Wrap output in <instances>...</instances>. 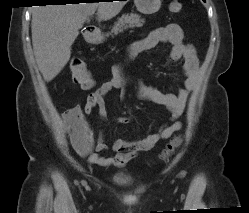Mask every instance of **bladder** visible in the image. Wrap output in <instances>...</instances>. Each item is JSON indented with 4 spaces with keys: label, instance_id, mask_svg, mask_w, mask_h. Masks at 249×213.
<instances>
[{
    "label": "bladder",
    "instance_id": "31cf9c89",
    "mask_svg": "<svg viewBox=\"0 0 249 213\" xmlns=\"http://www.w3.org/2000/svg\"><path fill=\"white\" fill-rule=\"evenodd\" d=\"M112 181L117 185H126L130 182L124 173H117L113 176Z\"/></svg>",
    "mask_w": 249,
    "mask_h": 213
}]
</instances>
